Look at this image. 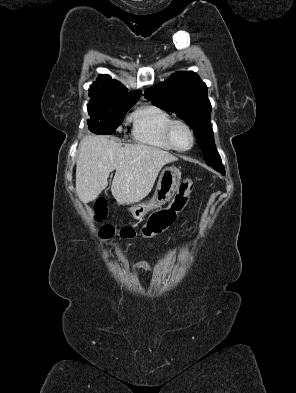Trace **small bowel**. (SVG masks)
Segmentation results:
<instances>
[{"label":"small bowel","mask_w":296,"mask_h":393,"mask_svg":"<svg viewBox=\"0 0 296 393\" xmlns=\"http://www.w3.org/2000/svg\"><path fill=\"white\" fill-rule=\"evenodd\" d=\"M134 267L137 268V269L144 270V271L149 272V273L152 272V266L150 265L149 262L144 261V260L137 261V262L134 264Z\"/></svg>","instance_id":"obj_1"}]
</instances>
